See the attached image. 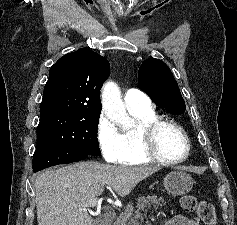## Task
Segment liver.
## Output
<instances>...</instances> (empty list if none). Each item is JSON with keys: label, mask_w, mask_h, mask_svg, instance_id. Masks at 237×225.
<instances>
[{"label": "liver", "mask_w": 237, "mask_h": 225, "mask_svg": "<svg viewBox=\"0 0 237 225\" xmlns=\"http://www.w3.org/2000/svg\"><path fill=\"white\" fill-rule=\"evenodd\" d=\"M156 167H130L83 161L35 177L38 225H98L84 206L107 189L127 196Z\"/></svg>", "instance_id": "liver-1"}]
</instances>
